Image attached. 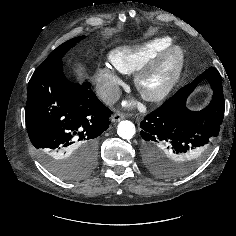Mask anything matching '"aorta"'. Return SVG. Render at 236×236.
<instances>
[{"instance_id":"obj_1","label":"aorta","mask_w":236,"mask_h":236,"mask_svg":"<svg viewBox=\"0 0 236 236\" xmlns=\"http://www.w3.org/2000/svg\"><path fill=\"white\" fill-rule=\"evenodd\" d=\"M135 125L128 120L121 121L117 127V133L122 139L129 140L135 135Z\"/></svg>"}]
</instances>
